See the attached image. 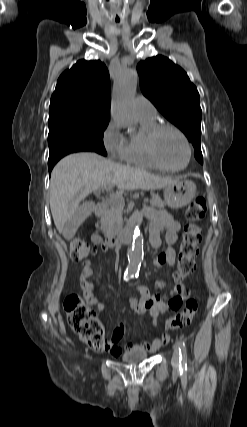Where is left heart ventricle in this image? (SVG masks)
<instances>
[{
    "instance_id": "1",
    "label": "left heart ventricle",
    "mask_w": 247,
    "mask_h": 427,
    "mask_svg": "<svg viewBox=\"0 0 247 427\" xmlns=\"http://www.w3.org/2000/svg\"><path fill=\"white\" fill-rule=\"evenodd\" d=\"M156 152L160 161L171 168L181 167L187 157L182 139L172 130L160 133L156 141Z\"/></svg>"
}]
</instances>
